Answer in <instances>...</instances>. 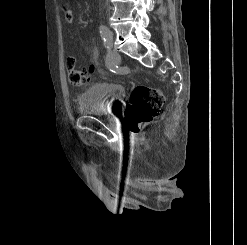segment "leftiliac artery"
<instances>
[{"label":"left iliac artery","instance_id":"obj_1","mask_svg":"<svg viewBox=\"0 0 247 245\" xmlns=\"http://www.w3.org/2000/svg\"><path fill=\"white\" fill-rule=\"evenodd\" d=\"M99 30L106 48L110 49V47L112 46V42L114 41L113 32L110 31L105 25H101L99 27Z\"/></svg>","mask_w":247,"mask_h":245}]
</instances>
